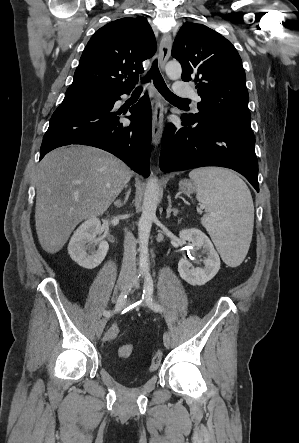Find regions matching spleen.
Here are the masks:
<instances>
[{"instance_id": "3e777b00", "label": "spleen", "mask_w": 299, "mask_h": 443, "mask_svg": "<svg viewBox=\"0 0 299 443\" xmlns=\"http://www.w3.org/2000/svg\"><path fill=\"white\" fill-rule=\"evenodd\" d=\"M189 177L197 184V200L205 208L202 225L224 262L236 267L244 260L252 238L254 205L251 193L232 171L199 168Z\"/></svg>"}]
</instances>
